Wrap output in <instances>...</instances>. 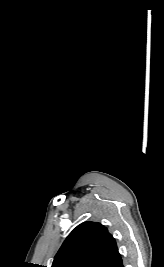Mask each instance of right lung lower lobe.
Segmentation results:
<instances>
[{
  "instance_id": "1",
  "label": "right lung lower lobe",
  "mask_w": 164,
  "mask_h": 267,
  "mask_svg": "<svg viewBox=\"0 0 164 267\" xmlns=\"http://www.w3.org/2000/svg\"><path fill=\"white\" fill-rule=\"evenodd\" d=\"M100 267H124L120 254L117 252L110 259L105 261Z\"/></svg>"
}]
</instances>
